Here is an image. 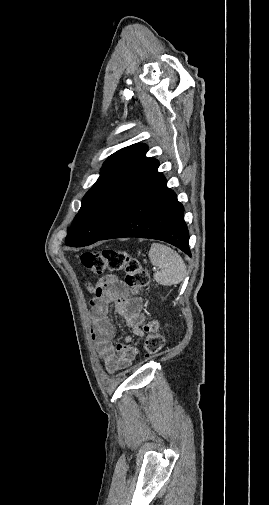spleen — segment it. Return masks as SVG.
Returning <instances> with one entry per match:
<instances>
[{"mask_svg":"<svg viewBox=\"0 0 269 505\" xmlns=\"http://www.w3.org/2000/svg\"><path fill=\"white\" fill-rule=\"evenodd\" d=\"M148 255L151 263L160 268L153 275L158 284L171 286L184 280L187 267L175 250L161 243H152Z\"/></svg>","mask_w":269,"mask_h":505,"instance_id":"spleen-1","label":"spleen"}]
</instances>
